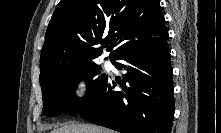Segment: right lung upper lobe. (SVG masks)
<instances>
[{
  "instance_id": "obj_1",
  "label": "right lung upper lobe",
  "mask_w": 221,
  "mask_h": 133,
  "mask_svg": "<svg viewBox=\"0 0 221 133\" xmlns=\"http://www.w3.org/2000/svg\"><path fill=\"white\" fill-rule=\"evenodd\" d=\"M168 36L158 0H61L45 35L40 75L62 63H88L111 52V60L124 51L153 45ZM101 44L100 48L94 45Z\"/></svg>"
}]
</instances>
